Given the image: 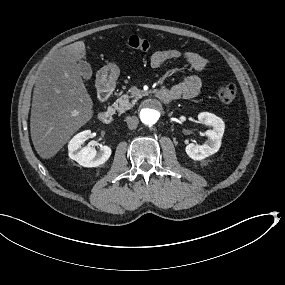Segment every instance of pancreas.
I'll return each mask as SVG.
<instances>
[{"label": "pancreas", "instance_id": "1", "mask_svg": "<svg viewBox=\"0 0 285 285\" xmlns=\"http://www.w3.org/2000/svg\"><path fill=\"white\" fill-rule=\"evenodd\" d=\"M136 101L138 99V96L136 94H133L130 96L128 93L123 94L118 99H114L112 101V104L114 106H118L119 110L118 112L125 113L126 111L130 110L133 106V104L130 103V100Z\"/></svg>", "mask_w": 285, "mask_h": 285}]
</instances>
